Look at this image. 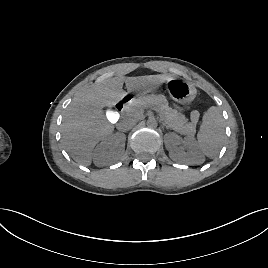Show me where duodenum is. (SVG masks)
I'll return each instance as SVG.
<instances>
[{"label": "duodenum", "mask_w": 268, "mask_h": 268, "mask_svg": "<svg viewBox=\"0 0 268 268\" xmlns=\"http://www.w3.org/2000/svg\"><path fill=\"white\" fill-rule=\"evenodd\" d=\"M131 100V96L126 94L124 95L116 104L118 110H122L124 106Z\"/></svg>", "instance_id": "1"}]
</instances>
